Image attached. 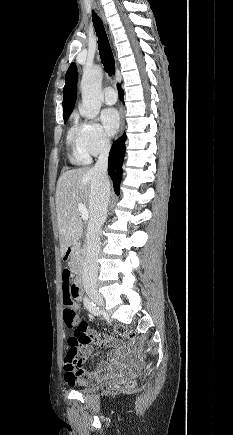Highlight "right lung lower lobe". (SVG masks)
<instances>
[{
    "label": "right lung lower lobe",
    "mask_w": 233,
    "mask_h": 435,
    "mask_svg": "<svg viewBox=\"0 0 233 435\" xmlns=\"http://www.w3.org/2000/svg\"><path fill=\"white\" fill-rule=\"evenodd\" d=\"M120 96L123 97V91L120 89ZM126 134L116 140L110 150L108 158V174L113 181V187L116 194L120 191V182L122 179V164L125 155Z\"/></svg>",
    "instance_id": "obj_1"
}]
</instances>
